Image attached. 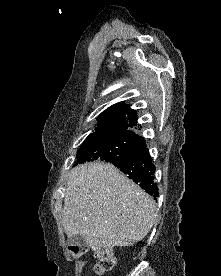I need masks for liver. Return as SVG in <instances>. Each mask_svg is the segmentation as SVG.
Returning a JSON list of instances; mask_svg holds the SVG:
<instances>
[{
    "instance_id": "liver-1",
    "label": "liver",
    "mask_w": 221,
    "mask_h": 276,
    "mask_svg": "<svg viewBox=\"0 0 221 276\" xmlns=\"http://www.w3.org/2000/svg\"><path fill=\"white\" fill-rule=\"evenodd\" d=\"M157 216L155 201L107 163H86L69 173L62 223L68 238L80 234L94 250L141 241Z\"/></svg>"
}]
</instances>
